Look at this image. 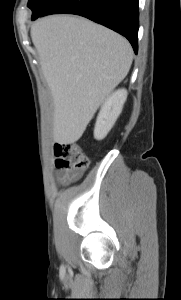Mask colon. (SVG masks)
I'll list each match as a JSON object with an SVG mask.
<instances>
[{"label": "colon", "instance_id": "obj_1", "mask_svg": "<svg viewBox=\"0 0 181 300\" xmlns=\"http://www.w3.org/2000/svg\"><path fill=\"white\" fill-rule=\"evenodd\" d=\"M54 155L56 167L68 171L73 176L83 173L88 168V157L76 143L55 144Z\"/></svg>", "mask_w": 181, "mask_h": 300}]
</instances>
